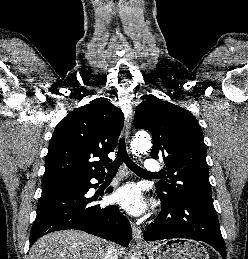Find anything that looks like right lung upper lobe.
<instances>
[{
  "mask_svg": "<svg viewBox=\"0 0 248 259\" xmlns=\"http://www.w3.org/2000/svg\"><path fill=\"white\" fill-rule=\"evenodd\" d=\"M122 111L108 101L91 102L70 112L55 128L45 160L42 186L105 174L108 154L117 145ZM99 157V161H92Z\"/></svg>",
  "mask_w": 248,
  "mask_h": 259,
  "instance_id": "right-lung-upper-lobe-1",
  "label": "right lung upper lobe"
}]
</instances>
